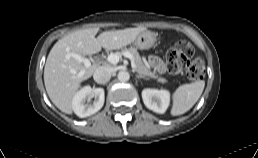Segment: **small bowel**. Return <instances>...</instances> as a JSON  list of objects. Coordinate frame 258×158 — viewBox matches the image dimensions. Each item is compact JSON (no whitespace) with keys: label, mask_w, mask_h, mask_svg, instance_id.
Here are the masks:
<instances>
[{"label":"small bowel","mask_w":258,"mask_h":158,"mask_svg":"<svg viewBox=\"0 0 258 158\" xmlns=\"http://www.w3.org/2000/svg\"><path fill=\"white\" fill-rule=\"evenodd\" d=\"M149 64L160 73H164L166 71L163 60L157 56H151L149 58Z\"/></svg>","instance_id":"c3829d8e"}]
</instances>
